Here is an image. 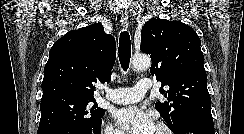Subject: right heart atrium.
<instances>
[{
  "instance_id": "1",
  "label": "right heart atrium",
  "mask_w": 244,
  "mask_h": 134,
  "mask_svg": "<svg viewBox=\"0 0 244 134\" xmlns=\"http://www.w3.org/2000/svg\"><path fill=\"white\" fill-rule=\"evenodd\" d=\"M103 134H122L118 129H116L112 124L107 123L103 127Z\"/></svg>"
}]
</instances>
